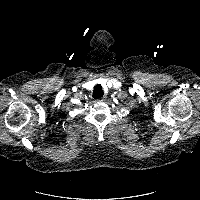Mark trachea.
I'll return each mask as SVG.
<instances>
[{
  "instance_id": "obj_1",
  "label": "trachea",
  "mask_w": 200,
  "mask_h": 200,
  "mask_svg": "<svg viewBox=\"0 0 200 200\" xmlns=\"http://www.w3.org/2000/svg\"><path fill=\"white\" fill-rule=\"evenodd\" d=\"M103 90H102V87L100 84H97L95 87H94V90H93V98L94 99H98V98H101L103 97Z\"/></svg>"
}]
</instances>
